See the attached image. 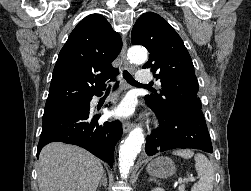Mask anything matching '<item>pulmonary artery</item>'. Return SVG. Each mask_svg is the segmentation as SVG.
<instances>
[{
    "instance_id": "1",
    "label": "pulmonary artery",
    "mask_w": 251,
    "mask_h": 191,
    "mask_svg": "<svg viewBox=\"0 0 251 191\" xmlns=\"http://www.w3.org/2000/svg\"><path fill=\"white\" fill-rule=\"evenodd\" d=\"M149 72V68H139V73H136V78H138L140 82H153L155 74Z\"/></svg>"
}]
</instances>
